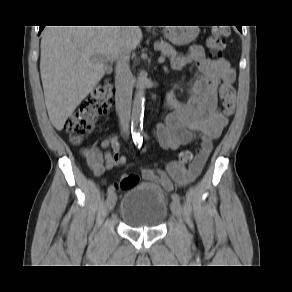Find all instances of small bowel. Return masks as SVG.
<instances>
[{
	"label": "small bowel",
	"mask_w": 292,
	"mask_h": 292,
	"mask_svg": "<svg viewBox=\"0 0 292 292\" xmlns=\"http://www.w3.org/2000/svg\"><path fill=\"white\" fill-rule=\"evenodd\" d=\"M188 64H194L196 72L179 86L177 92L168 95L167 102L173 111L163 123L157 125L153 135L163 149L175 150L200 139L201 150L188 167L171 161L164 170H141L145 181L157 183L166 191L190 184L201 173L212 151L213 140L222 134L227 124V118L218 108L217 88L221 82L233 84L236 77L229 60L206 57L200 46L191 47L187 54L172 61L175 69H182ZM180 94L185 96L184 100L180 99ZM145 150L146 147H143L142 151ZM126 161L114 135L104 139L99 147H92L87 153V163L97 176L124 166Z\"/></svg>",
	"instance_id": "obj_1"
}]
</instances>
